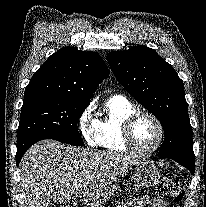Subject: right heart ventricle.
Returning <instances> with one entry per match:
<instances>
[{
	"mask_svg": "<svg viewBox=\"0 0 206 207\" xmlns=\"http://www.w3.org/2000/svg\"><path fill=\"white\" fill-rule=\"evenodd\" d=\"M135 110L136 106L123 96L109 98L102 118L97 121V145L112 153L127 152L122 141V126Z\"/></svg>",
	"mask_w": 206,
	"mask_h": 207,
	"instance_id": "e07e8e85",
	"label": "right heart ventricle"
}]
</instances>
